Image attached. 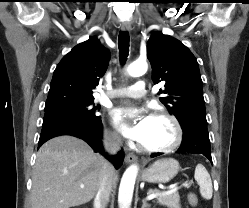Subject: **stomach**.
Masks as SVG:
<instances>
[{
    "label": "stomach",
    "mask_w": 249,
    "mask_h": 208,
    "mask_svg": "<svg viewBox=\"0 0 249 208\" xmlns=\"http://www.w3.org/2000/svg\"><path fill=\"white\" fill-rule=\"evenodd\" d=\"M179 162L173 158L155 161L142 172V179L148 183H167L179 172Z\"/></svg>",
    "instance_id": "stomach-1"
}]
</instances>
